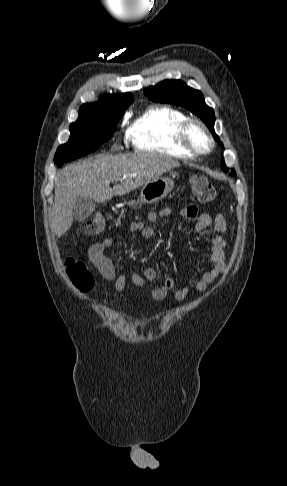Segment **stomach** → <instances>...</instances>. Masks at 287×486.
I'll list each match as a JSON object with an SVG mask.
<instances>
[{"label":"stomach","mask_w":287,"mask_h":486,"mask_svg":"<svg viewBox=\"0 0 287 486\" xmlns=\"http://www.w3.org/2000/svg\"><path fill=\"white\" fill-rule=\"evenodd\" d=\"M174 182L170 178H158L143 185L138 203H157L164 199L173 189Z\"/></svg>","instance_id":"stomach-1"}]
</instances>
